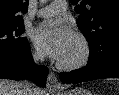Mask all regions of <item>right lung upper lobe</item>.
I'll return each instance as SVG.
<instances>
[{"instance_id": "1", "label": "right lung upper lobe", "mask_w": 119, "mask_h": 95, "mask_svg": "<svg viewBox=\"0 0 119 95\" xmlns=\"http://www.w3.org/2000/svg\"><path fill=\"white\" fill-rule=\"evenodd\" d=\"M29 0H0V25L23 21L22 13L28 10Z\"/></svg>"}]
</instances>
